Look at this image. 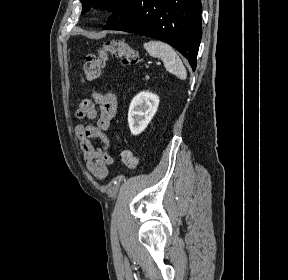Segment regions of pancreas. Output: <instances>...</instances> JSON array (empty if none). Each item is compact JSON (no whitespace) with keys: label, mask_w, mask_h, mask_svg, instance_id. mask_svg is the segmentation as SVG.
I'll use <instances>...</instances> for the list:
<instances>
[{"label":"pancreas","mask_w":288,"mask_h":280,"mask_svg":"<svg viewBox=\"0 0 288 280\" xmlns=\"http://www.w3.org/2000/svg\"><path fill=\"white\" fill-rule=\"evenodd\" d=\"M146 79H149V76H146Z\"/></svg>","instance_id":"obj_1"}]
</instances>
